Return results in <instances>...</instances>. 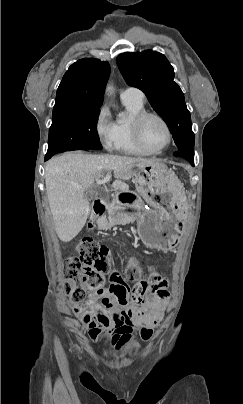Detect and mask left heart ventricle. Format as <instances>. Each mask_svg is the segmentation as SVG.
I'll list each match as a JSON object with an SVG mask.
<instances>
[{
    "label": "left heart ventricle",
    "mask_w": 243,
    "mask_h": 404,
    "mask_svg": "<svg viewBox=\"0 0 243 404\" xmlns=\"http://www.w3.org/2000/svg\"><path fill=\"white\" fill-rule=\"evenodd\" d=\"M140 135L146 145L160 149L168 141V131L164 123L155 116L146 118L140 126Z\"/></svg>",
    "instance_id": "left-heart-ventricle-1"
}]
</instances>
